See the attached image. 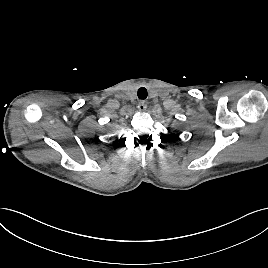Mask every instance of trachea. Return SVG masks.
I'll return each mask as SVG.
<instances>
[{
    "label": "trachea",
    "instance_id": "1",
    "mask_svg": "<svg viewBox=\"0 0 268 268\" xmlns=\"http://www.w3.org/2000/svg\"><path fill=\"white\" fill-rule=\"evenodd\" d=\"M137 95H138L139 99L145 100L147 98V95H148L146 88H144V87L139 88Z\"/></svg>",
    "mask_w": 268,
    "mask_h": 268
}]
</instances>
